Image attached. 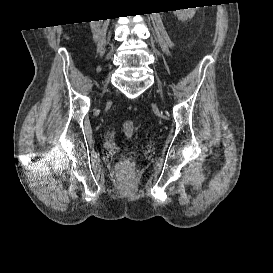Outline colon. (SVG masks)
Listing matches in <instances>:
<instances>
[{"label": "colon", "instance_id": "obj_1", "mask_svg": "<svg viewBox=\"0 0 273 273\" xmlns=\"http://www.w3.org/2000/svg\"><path fill=\"white\" fill-rule=\"evenodd\" d=\"M134 129H135V125L132 120H126L123 123V131L128 138L132 137L134 133ZM129 168H130V163L126 162L123 164L122 170H127Z\"/></svg>", "mask_w": 273, "mask_h": 273}]
</instances>
